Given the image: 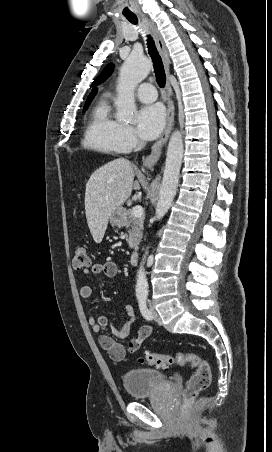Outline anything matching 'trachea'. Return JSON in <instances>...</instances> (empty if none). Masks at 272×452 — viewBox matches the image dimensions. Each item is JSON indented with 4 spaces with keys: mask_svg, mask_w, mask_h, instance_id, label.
Returning a JSON list of instances; mask_svg holds the SVG:
<instances>
[{
    "mask_svg": "<svg viewBox=\"0 0 272 452\" xmlns=\"http://www.w3.org/2000/svg\"><path fill=\"white\" fill-rule=\"evenodd\" d=\"M128 21H130L132 24L137 25L138 24V19L136 16H129L127 17ZM147 45H148V52L149 55L152 59L153 62V66H154V72H155V76H156V81L158 83V85L163 88L165 86L166 83V74L164 71V67H163V63H162V59L155 47V43L152 39V37H150L148 35V39H147Z\"/></svg>",
    "mask_w": 272,
    "mask_h": 452,
    "instance_id": "obj_1",
    "label": "trachea"
}]
</instances>
